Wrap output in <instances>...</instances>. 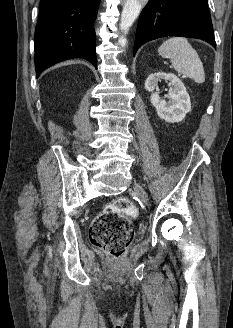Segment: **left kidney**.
Masks as SVG:
<instances>
[{"instance_id":"left-kidney-1","label":"left kidney","mask_w":233,"mask_h":328,"mask_svg":"<svg viewBox=\"0 0 233 328\" xmlns=\"http://www.w3.org/2000/svg\"><path fill=\"white\" fill-rule=\"evenodd\" d=\"M170 82L168 93L169 101L161 99L154 92L161 80ZM145 89L151 93V104L156 108L158 116L169 123L182 121L186 114L191 111L190 96L184 83L172 73L158 72L150 74L145 81Z\"/></svg>"}]
</instances>
